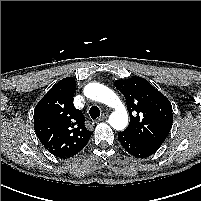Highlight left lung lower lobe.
Masks as SVG:
<instances>
[{
    "mask_svg": "<svg viewBox=\"0 0 201 201\" xmlns=\"http://www.w3.org/2000/svg\"><path fill=\"white\" fill-rule=\"evenodd\" d=\"M118 138L125 150L137 158H146L156 152V150L148 147L136 139L132 134L125 131L118 132Z\"/></svg>",
    "mask_w": 201,
    "mask_h": 201,
    "instance_id": "0a47b994",
    "label": "left lung lower lobe"
}]
</instances>
